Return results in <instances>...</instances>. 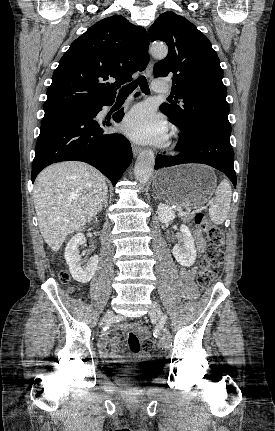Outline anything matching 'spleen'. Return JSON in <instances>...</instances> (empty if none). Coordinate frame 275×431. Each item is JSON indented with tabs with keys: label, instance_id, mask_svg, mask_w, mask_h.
I'll return each mask as SVG.
<instances>
[{
	"label": "spleen",
	"instance_id": "obj_1",
	"mask_svg": "<svg viewBox=\"0 0 275 431\" xmlns=\"http://www.w3.org/2000/svg\"><path fill=\"white\" fill-rule=\"evenodd\" d=\"M232 190L227 180L221 181L210 202L209 216L214 224H222L228 215L231 204Z\"/></svg>",
	"mask_w": 275,
	"mask_h": 431
}]
</instances>
